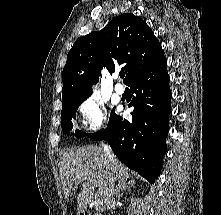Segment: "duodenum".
<instances>
[{
    "label": "duodenum",
    "instance_id": "410a0bca",
    "mask_svg": "<svg viewBox=\"0 0 221 215\" xmlns=\"http://www.w3.org/2000/svg\"><path fill=\"white\" fill-rule=\"evenodd\" d=\"M78 215H89L87 211H81Z\"/></svg>",
    "mask_w": 221,
    "mask_h": 215
}]
</instances>
